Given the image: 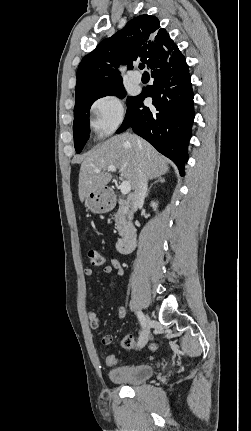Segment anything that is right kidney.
Returning <instances> with one entry per match:
<instances>
[{"mask_svg":"<svg viewBox=\"0 0 251 431\" xmlns=\"http://www.w3.org/2000/svg\"><path fill=\"white\" fill-rule=\"evenodd\" d=\"M150 206L153 208L154 211H156L157 207H158V203L152 201L151 204H150Z\"/></svg>","mask_w":251,"mask_h":431,"instance_id":"right-kidney-1","label":"right kidney"}]
</instances>
